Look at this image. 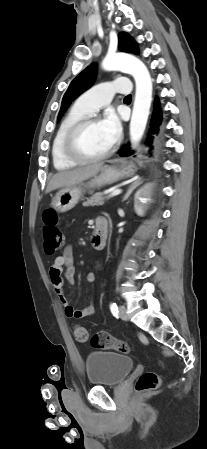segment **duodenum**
Returning a JSON list of instances; mask_svg holds the SVG:
<instances>
[{"mask_svg": "<svg viewBox=\"0 0 207 449\" xmlns=\"http://www.w3.org/2000/svg\"><path fill=\"white\" fill-rule=\"evenodd\" d=\"M109 223L104 217H99L96 220L95 229L91 236V243L97 250H101L106 246L108 236Z\"/></svg>", "mask_w": 207, "mask_h": 449, "instance_id": "410a0bca", "label": "duodenum"}]
</instances>
